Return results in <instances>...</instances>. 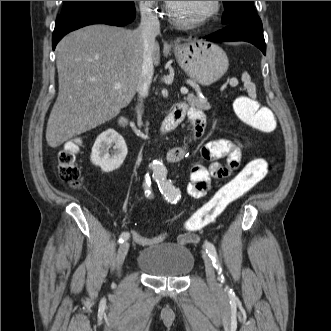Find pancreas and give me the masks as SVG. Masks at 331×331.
<instances>
[{
  "mask_svg": "<svg viewBox=\"0 0 331 331\" xmlns=\"http://www.w3.org/2000/svg\"><path fill=\"white\" fill-rule=\"evenodd\" d=\"M186 100L188 101V103L191 106H195L197 108H201V109H209L210 108V104L207 101V98H202L199 95H194V94H189L186 98Z\"/></svg>",
  "mask_w": 331,
  "mask_h": 331,
  "instance_id": "pancreas-1",
  "label": "pancreas"
}]
</instances>
